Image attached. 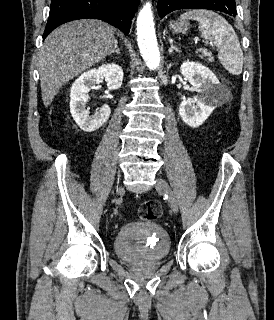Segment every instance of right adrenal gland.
Masks as SVG:
<instances>
[{
	"label": "right adrenal gland",
	"mask_w": 274,
	"mask_h": 320,
	"mask_svg": "<svg viewBox=\"0 0 274 320\" xmlns=\"http://www.w3.org/2000/svg\"><path fill=\"white\" fill-rule=\"evenodd\" d=\"M117 44H118V42H116L115 48H114L112 54H120V50H119ZM112 54H108V56H112Z\"/></svg>",
	"instance_id": "obj_1"
}]
</instances>
